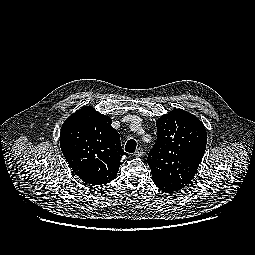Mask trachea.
Instances as JSON below:
<instances>
[{"instance_id":"obj_1","label":"trachea","mask_w":255,"mask_h":255,"mask_svg":"<svg viewBox=\"0 0 255 255\" xmlns=\"http://www.w3.org/2000/svg\"><path fill=\"white\" fill-rule=\"evenodd\" d=\"M136 141L133 139H130L125 146V151L128 153H133L136 149Z\"/></svg>"}]
</instances>
